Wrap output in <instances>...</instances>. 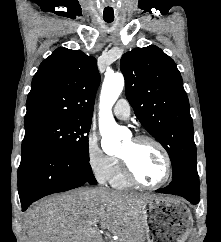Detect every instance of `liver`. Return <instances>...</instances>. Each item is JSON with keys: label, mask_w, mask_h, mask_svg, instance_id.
<instances>
[{"label": "liver", "mask_w": 221, "mask_h": 242, "mask_svg": "<svg viewBox=\"0 0 221 242\" xmlns=\"http://www.w3.org/2000/svg\"><path fill=\"white\" fill-rule=\"evenodd\" d=\"M155 196L76 189L44 198L26 213L29 242H103L97 224L119 237V242H144L141 206Z\"/></svg>", "instance_id": "obj_1"}]
</instances>
